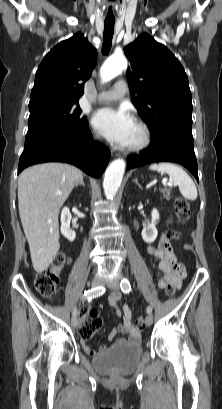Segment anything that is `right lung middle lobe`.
<instances>
[{"label": "right lung middle lobe", "instance_id": "obj_1", "mask_svg": "<svg viewBox=\"0 0 222 409\" xmlns=\"http://www.w3.org/2000/svg\"><path fill=\"white\" fill-rule=\"evenodd\" d=\"M25 146L41 139L77 141L88 128L78 101L52 102L29 108Z\"/></svg>", "mask_w": 222, "mask_h": 409}]
</instances>
